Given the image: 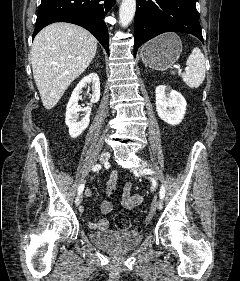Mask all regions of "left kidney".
I'll return each instance as SVG.
<instances>
[{"mask_svg":"<svg viewBox=\"0 0 240 281\" xmlns=\"http://www.w3.org/2000/svg\"><path fill=\"white\" fill-rule=\"evenodd\" d=\"M155 94L158 116L170 125H178L186 113L187 103L184 97L166 85L157 86Z\"/></svg>","mask_w":240,"mask_h":281,"instance_id":"5707ae66","label":"left kidney"}]
</instances>
